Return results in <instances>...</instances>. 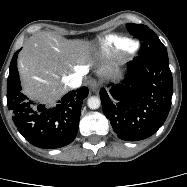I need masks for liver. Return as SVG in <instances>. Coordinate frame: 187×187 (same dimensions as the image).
<instances>
[{
    "instance_id": "liver-1",
    "label": "liver",
    "mask_w": 187,
    "mask_h": 187,
    "mask_svg": "<svg viewBox=\"0 0 187 187\" xmlns=\"http://www.w3.org/2000/svg\"><path fill=\"white\" fill-rule=\"evenodd\" d=\"M89 61L85 42L66 40L50 32L36 33L25 42L18 56L23 92L32 99L52 106L68 92V75L79 69L87 73ZM121 64L102 66L98 75L115 78Z\"/></svg>"
}]
</instances>
